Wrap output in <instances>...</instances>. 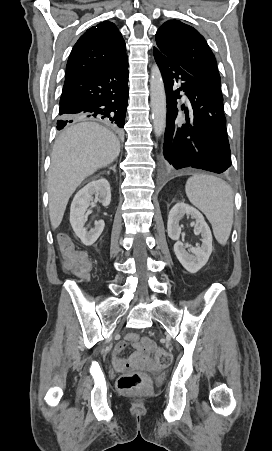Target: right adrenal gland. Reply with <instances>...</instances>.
Wrapping results in <instances>:
<instances>
[{
  "instance_id": "2a0ac1e0",
  "label": "right adrenal gland",
  "mask_w": 272,
  "mask_h": 451,
  "mask_svg": "<svg viewBox=\"0 0 272 451\" xmlns=\"http://www.w3.org/2000/svg\"><path fill=\"white\" fill-rule=\"evenodd\" d=\"M115 168L116 166H112V168H109V170H113V172H116Z\"/></svg>"
}]
</instances>
